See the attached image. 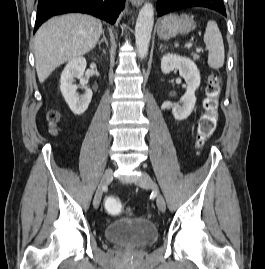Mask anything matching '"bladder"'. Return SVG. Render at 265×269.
Returning <instances> with one entry per match:
<instances>
[{
    "label": "bladder",
    "instance_id": "31cf9c89",
    "mask_svg": "<svg viewBox=\"0 0 265 269\" xmlns=\"http://www.w3.org/2000/svg\"><path fill=\"white\" fill-rule=\"evenodd\" d=\"M104 236L114 244L140 247L154 243L158 238V230L146 218L120 219L106 226Z\"/></svg>",
    "mask_w": 265,
    "mask_h": 269
}]
</instances>
